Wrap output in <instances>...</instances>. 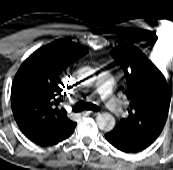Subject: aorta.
<instances>
[{
  "label": "aorta",
  "mask_w": 173,
  "mask_h": 170,
  "mask_svg": "<svg viewBox=\"0 0 173 170\" xmlns=\"http://www.w3.org/2000/svg\"><path fill=\"white\" fill-rule=\"evenodd\" d=\"M88 74V73H86ZM88 80L87 83H90ZM97 125L99 129L103 131H111L115 127V118L110 113H101L96 118Z\"/></svg>",
  "instance_id": "1"
}]
</instances>
